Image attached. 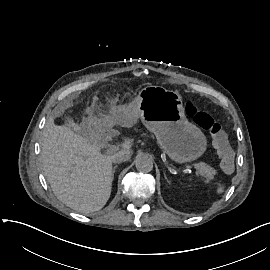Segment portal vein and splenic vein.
Instances as JSON below:
<instances>
[{
  "label": "portal vein and splenic vein",
  "mask_w": 270,
  "mask_h": 270,
  "mask_svg": "<svg viewBox=\"0 0 270 270\" xmlns=\"http://www.w3.org/2000/svg\"><path fill=\"white\" fill-rule=\"evenodd\" d=\"M116 152H117L116 148H107V149L102 150L103 154H112V153H116ZM185 168L193 169L194 167L191 165H185Z\"/></svg>",
  "instance_id": "portal-vein-and-splenic-vein-1"
}]
</instances>
